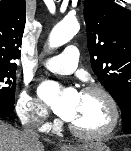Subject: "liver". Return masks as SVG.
Listing matches in <instances>:
<instances>
[{"label": "liver", "mask_w": 131, "mask_h": 151, "mask_svg": "<svg viewBox=\"0 0 131 151\" xmlns=\"http://www.w3.org/2000/svg\"><path fill=\"white\" fill-rule=\"evenodd\" d=\"M0 151H44V146L0 120Z\"/></svg>", "instance_id": "obj_1"}]
</instances>
